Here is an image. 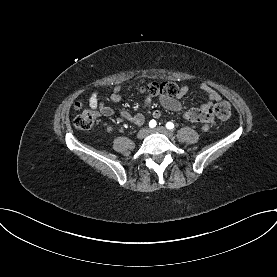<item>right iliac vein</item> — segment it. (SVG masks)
<instances>
[{"label":"right iliac vein","instance_id":"63e3f726","mask_svg":"<svg viewBox=\"0 0 277 277\" xmlns=\"http://www.w3.org/2000/svg\"><path fill=\"white\" fill-rule=\"evenodd\" d=\"M149 132L150 131L148 128H143L137 133V138L144 139L149 134Z\"/></svg>","mask_w":277,"mask_h":277}]
</instances>
